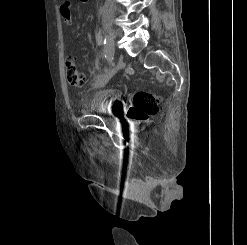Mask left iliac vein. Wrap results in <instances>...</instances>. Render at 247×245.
Returning <instances> with one entry per match:
<instances>
[{
    "label": "left iliac vein",
    "mask_w": 247,
    "mask_h": 245,
    "mask_svg": "<svg viewBox=\"0 0 247 245\" xmlns=\"http://www.w3.org/2000/svg\"><path fill=\"white\" fill-rule=\"evenodd\" d=\"M115 48V45H114ZM123 65L122 60L119 58L117 62L114 64L112 70L110 71V74H114L117 69H119Z\"/></svg>",
    "instance_id": "1"
}]
</instances>
